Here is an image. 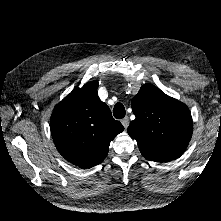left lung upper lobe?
Instances as JSON below:
<instances>
[{"instance_id":"5c2ea615","label":"left lung upper lobe","mask_w":221,"mask_h":221,"mask_svg":"<svg viewBox=\"0 0 221 221\" xmlns=\"http://www.w3.org/2000/svg\"><path fill=\"white\" fill-rule=\"evenodd\" d=\"M135 120L127 131L148 160L167 162L181 155L191 139L193 124L188 107L159 88L145 84L133 97Z\"/></svg>"}]
</instances>
